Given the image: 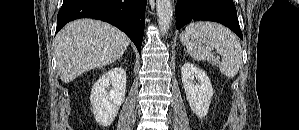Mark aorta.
<instances>
[{
  "mask_svg": "<svg viewBox=\"0 0 299 130\" xmlns=\"http://www.w3.org/2000/svg\"><path fill=\"white\" fill-rule=\"evenodd\" d=\"M158 25L163 34L167 33L173 18L172 0H156Z\"/></svg>",
  "mask_w": 299,
  "mask_h": 130,
  "instance_id": "aorta-1",
  "label": "aorta"
}]
</instances>
